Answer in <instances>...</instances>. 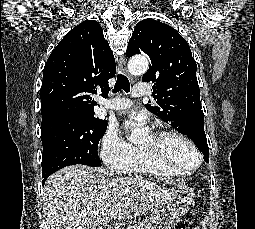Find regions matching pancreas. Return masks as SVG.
Instances as JSON below:
<instances>
[{"label": "pancreas", "instance_id": "pancreas-1", "mask_svg": "<svg viewBox=\"0 0 255 229\" xmlns=\"http://www.w3.org/2000/svg\"><path fill=\"white\" fill-rule=\"evenodd\" d=\"M126 229H155L153 224L148 220L128 225Z\"/></svg>", "mask_w": 255, "mask_h": 229}]
</instances>
